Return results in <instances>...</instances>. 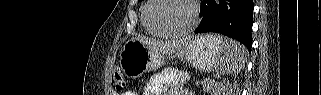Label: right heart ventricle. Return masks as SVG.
Wrapping results in <instances>:
<instances>
[{
  "label": "right heart ventricle",
  "instance_id": "1",
  "mask_svg": "<svg viewBox=\"0 0 321 95\" xmlns=\"http://www.w3.org/2000/svg\"><path fill=\"white\" fill-rule=\"evenodd\" d=\"M147 3H148V1H147ZM147 3H146V6H147ZM146 6H145V8H146ZM145 8H144V10H145ZM144 10H143V14H144ZM142 23H143V26H144V28H145V30H146L147 32H149V33H151V34H154V33H152V32L146 27L145 22H144V19H143V16H142ZM154 35H156V34H154Z\"/></svg>",
  "mask_w": 321,
  "mask_h": 95
}]
</instances>
